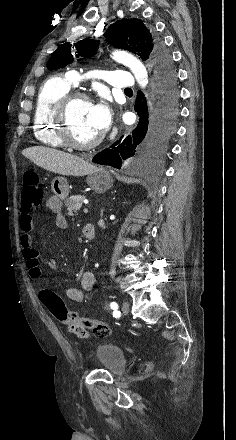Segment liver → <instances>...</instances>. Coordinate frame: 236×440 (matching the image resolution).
I'll return each mask as SVG.
<instances>
[{"mask_svg":"<svg viewBox=\"0 0 236 440\" xmlns=\"http://www.w3.org/2000/svg\"><path fill=\"white\" fill-rule=\"evenodd\" d=\"M22 154L37 166L66 176H84L97 168L80 157L48 147H30Z\"/></svg>","mask_w":236,"mask_h":440,"instance_id":"6515ba94","label":"liver"}]
</instances>
